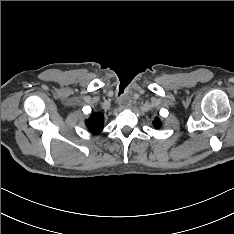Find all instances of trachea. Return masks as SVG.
<instances>
[{
    "instance_id": "1",
    "label": "trachea",
    "mask_w": 234,
    "mask_h": 234,
    "mask_svg": "<svg viewBox=\"0 0 234 234\" xmlns=\"http://www.w3.org/2000/svg\"><path fill=\"white\" fill-rule=\"evenodd\" d=\"M124 91L122 89H120L118 95H121Z\"/></svg>"
}]
</instances>
